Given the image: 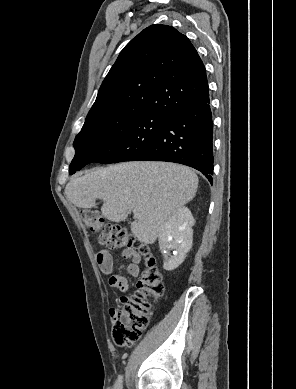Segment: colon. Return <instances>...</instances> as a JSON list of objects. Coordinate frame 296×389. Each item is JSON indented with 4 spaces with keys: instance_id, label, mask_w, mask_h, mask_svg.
I'll use <instances>...</instances> for the list:
<instances>
[{
    "instance_id": "5ec220e1",
    "label": "colon",
    "mask_w": 296,
    "mask_h": 389,
    "mask_svg": "<svg viewBox=\"0 0 296 389\" xmlns=\"http://www.w3.org/2000/svg\"><path fill=\"white\" fill-rule=\"evenodd\" d=\"M80 214L85 226L99 234L101 244L115 249L133 248L143 257L144 270L137 281L135 293L121 297L122 306L110 310L115 344L130 346L140 339L143 329L148 325L151 301L163 295V276L149 248L126 228L105 223L94 209H82Z\"/></svg>"
}]
</instances>
